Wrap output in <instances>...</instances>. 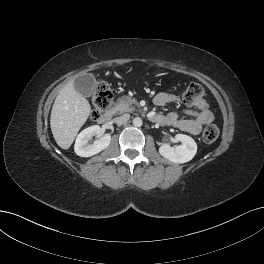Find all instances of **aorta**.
Here are the masks:
<instances>
[{
  "label": "aorta",
  "mask_w": 264,
  "mask_h": 264,
  "mask_svg": "<svg viewBox=\"0 0 264 264\" xmlns=\"http://www.w3.org/2000/svg\"><path fill=\"white\" fill-rule=\"evenodd\" d=\"M142 124H143V122H142V119H141L140 117H135V118L133 119V125H134L135 127H141Z\"/></svg>",
  "instance_id": "obj_1"
}]
</instances>
